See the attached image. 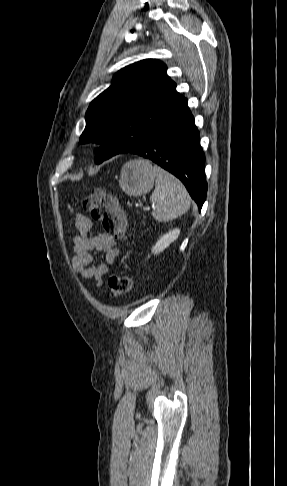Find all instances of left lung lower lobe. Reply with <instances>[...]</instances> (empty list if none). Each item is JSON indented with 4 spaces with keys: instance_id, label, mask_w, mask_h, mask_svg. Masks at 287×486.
<instances>
[{
    "instance_id": "obj_1",
    "label": "left lung lower lobe",
    "mask_w": 287,
    "mask_h": 486,
    "mask_svg": "<svg viewBox=\"0 0 287 486\" xmlns=\"http://www.w3.org/2000/svg\"><path fill=\"white\" fill-rule=\"evenodd\" d=\"M129 152L152 160L178 177L201 209L207 192L205 156L187 99L183 97L144 141Z\"/></svg>"
}]
</instances>
